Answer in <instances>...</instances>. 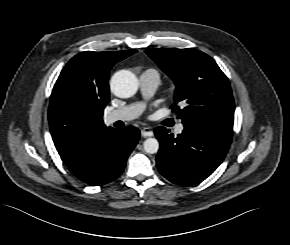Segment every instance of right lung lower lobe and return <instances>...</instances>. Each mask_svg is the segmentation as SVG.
<instances>
[{
    "label": "right lung lower lobe",
    "mask_w": 290,
    "mask_h": 245,
    "mask_svg": "<svg viewBox=\"0 0 290 245\" xmlns=\"http://www.w3.org/2000/svg\"><path fill=\"white\" fill-rule=\"evenodd\" d=\"M139 137L140 131L133 126L110 128L80 157L65 164L77 178L91 186L107 184L122 174Z\"/></svg>",
    "instance_id": "right-lung-lower-lobe-1"
}]
</instances>
